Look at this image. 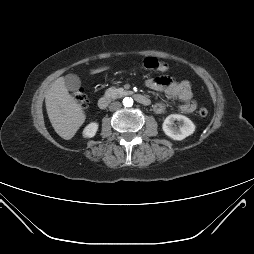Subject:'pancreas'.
Masks as SVG:
<instances>
[{
	"label": "pancreas",
	"mask_w": 254,
	"mask_h": 254,
	"mask_svg": "<svg viewBox=\"0 0 254 254\" xmlns=\"http://www.w3.org/2000/svg\"><path fill=\"white\" fill-rule=\"evenodd\" d=\"M126 93L127 92L123 88H115V87H110L105 92L107 96H110L112 98H118Z\"/></svg>",
	"instance_id": "pancreas-1"
}]
</instances>
